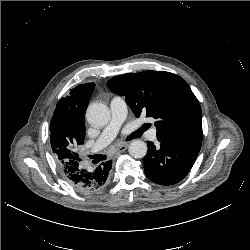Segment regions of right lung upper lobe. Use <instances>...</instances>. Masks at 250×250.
Here are the masks:
<instances>
[{"label": "right lung upper lobe", "mask_w": 250, "mask_h": 250, "mask_svg": "<svg viewBox=\"0 0 250 250\" xmlns=\"http://www.w3.org/2000/svg\"><path fill=\"white\" fill-rule=\"evenodd\" d=\"M94 86V83L78 85L58 101L50 123V137L65 138L70 142L85 135L84 115ZM67 161L58 158L59 163Z\"/></svg>", "instance_id": "right-lung-upper-lobe-1"}]
</instances>
